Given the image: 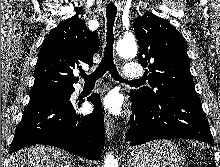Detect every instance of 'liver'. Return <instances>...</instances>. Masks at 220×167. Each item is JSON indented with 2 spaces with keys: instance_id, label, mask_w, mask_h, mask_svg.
Masks as SVG:
<instances>
[{
  "instance_id": "6515ba94",
  "label": "liver",
  "mask_w": 220,
  "mask_h": 167,
  "mask_svg": "<svg viewBox=\"0 0 220 167\" xmlns=\"http://www.w3.org/2000/svg\"><path fill=\"white\" fill-rule=\"evenodd\" d=\"M9 167H71L67 152L49 146L25 147L9 157Z\"/></svg>"
}]
</instances>
